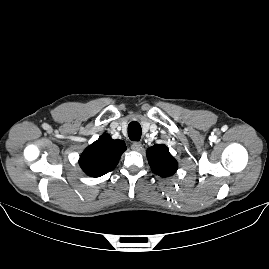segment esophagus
I'll return each instance as SVG.
<instances>
[{
	"instance_id": "obj_1",
	"label": "esophagus",
	"mask_w": 269,
	"mask_h": 269,
	"mask_svg": "<svg viewBox=\"0 0 269 269\" xmlns=\"http://www.w3.org/2000/svg\"><path fill=\"white\" fill-rule=\"evenodd\" d=\"M142 147V143L140 141L133 142L131 145V149L134 151H139Z\"/></svg>"
}]
</instances>
